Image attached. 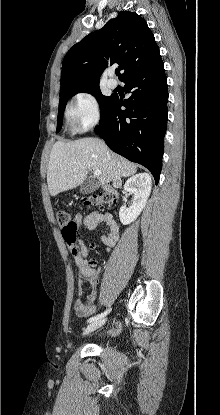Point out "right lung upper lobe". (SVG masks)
<instances>
[{"label": "right lung upper lobe", "mask_w": 220, "mask_h": 415, "mask_svg": "<svg viewBox=\"0 0 220 415\" xmlns=\"http://www.w3.org/2000/svg\"><path fill=\"white\" fill-rule=\"evenodd\" d=\"M161 60L159 48L146 21L122 11L101 29L71 47L64 57L60 94L85 85H99L102 70L117 63L120 80Z\"/></svg>", "instance_id": "obj_1"}]
</instances>
